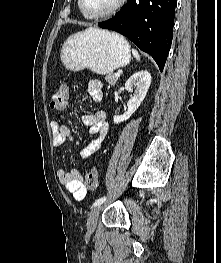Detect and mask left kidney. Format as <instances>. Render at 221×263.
Segmentation results:
<instances>
[{
	"label": "left kidney",
	"mask_w": 221,
	"mask_h": 263,
	"mask_svg": "<svg viewBox=\"0 0 221 263\" xmlns=\"http://www.w3.org/2000/svg\"><path fill=\"white\" fill-rule=\"evenodd\" d=\"M151 75L146 70H141L134 73L125 83V89L132 91L135 88L133 96L129 99L127 106L128 110L123 115H114L113 121L119 124L128 120L132 114L138 109L144 100L147 91L151 84Z\"/></svg>",
	"instance_id": "1"
}]
</instances>
